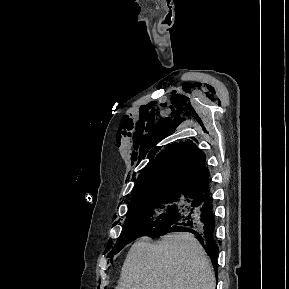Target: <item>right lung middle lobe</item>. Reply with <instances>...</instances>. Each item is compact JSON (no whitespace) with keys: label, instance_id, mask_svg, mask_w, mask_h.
Instances as JSON below:
<instances>
[{"label":"right lung middle lobe","instance_id":"dd1d6c3e","mask_svg":"<svg viewBox=\"0 0 289 289\" xmlns=\"http://www.w3.org/2000/svg\"><path fill=\"white\" fill-rule=\"evenodd\" d=\"M198 202V196L181 193L132 199L123 230L112 251L116 254L137 237L167 231L190 215Z\"/></svg>","mask_w":289,"mask_h":289}]
</instances>
